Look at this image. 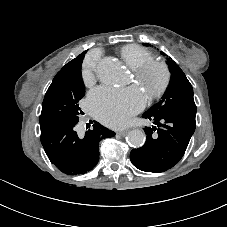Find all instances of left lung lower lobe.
I'll return each mask as SVG.
<instances>
[{"label": "left lung lower lobe", "mask_w": 227, "mask_h": 227, "mask_svg": "<svg viewBox=\"0 0 227 227\" xmlns=\"http://www.w3.org/2000/svg\"><path fill=\"white\" fill-rule=\"evenodd\" d=\"M143 118L158 126L145 128L146 142L131 151V162L145 172H164L183 157L195 131V117L177 112L161 115L145 112Z\"/></svg>", "instance_id": "left-lung-lower-lobe-1"}]
</instances>
